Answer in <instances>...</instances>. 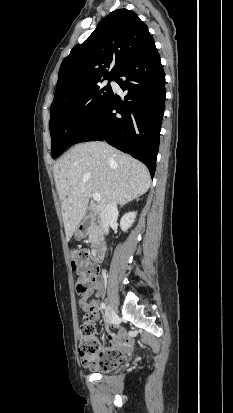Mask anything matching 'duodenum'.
I'll return each instance as SVG.
<instances>
[{"instance_id": "obj_1", "label": "duodenum", "mask_w": 233, "mask_h": 413, "mask_svg": "<svg viewBox=\"0 0 233 413\" xmlns=\"http://www.w3.org/2000/svg\"><path fill=\"white\" fill-rule=\"evenodd\" d=\"M90 230L88 224H82L80 226V232L82 235H86ZM105 245L103 239L99 236L92 248V254L97 261H101L104 257Z\"/></svg>"}]
</instances>
